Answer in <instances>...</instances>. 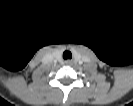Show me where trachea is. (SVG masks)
Instances as JSON below:
<instances>
[{"label": "trachea", "instance_id": "3493384b", "mask_svg": "<svg viewBox=\"0 0 133 106\" xmlns=\"http://www.w3.org/2000/svg\"><path fill=\"white\" fill-rule=\"evenodd\" d=\"M63 58H64V59H71V58H72L71 52H70V51H65V52L63 53Z\"/></svg>", "mask_w": 133, "mask_h": 106}]
</instances>
